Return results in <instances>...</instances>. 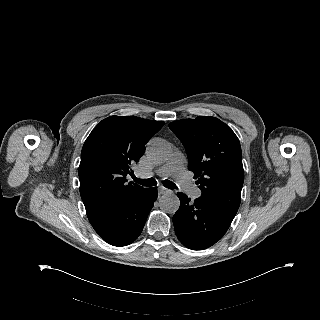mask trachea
Wrapping results in <instances>:
<instances>
[{
	"label": "trachea",
	"instance_id": "obj_1",
	"mask_svg": "<svg viewBox=\"0 0 320 320\" xmlns=\"http://www.w3.org/2000/svg\"><path fill=\"white\" fill-rule=\"evenodd\" d=\"M133 179H134V182L139 183L140 185H143L146 187L157 185V181L154 178L139 179L134 176ZM163 185H164V187L172 189V190L178 189V187L175 185V183H173L172 181H169V180H164Z\"/></svg>",
	"mask_w": 320,
	"mask_h": 320
}]
</instances>
